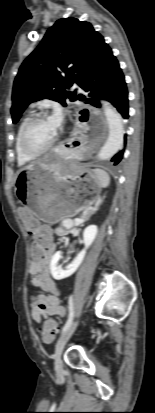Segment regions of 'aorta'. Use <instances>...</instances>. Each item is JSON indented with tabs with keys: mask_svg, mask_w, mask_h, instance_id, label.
Wrapping results in <instances>:
<instances>
[{
	"mask_svg": "<svg viewBox=\"0 0 155 413\" xmlns=\"http://www.w3.org/2000/svg\"><path fill=\"white\" fill-rule=\"evenodd\" d=\"M103 111L106 118L109 134L105 144L98 153L100 160L110 159L123 145L124 125L121 115L108 102H103Z\"/></svg>",
	"mask_w": 155,
	"mask_h": 413,
	"instance_id": "1",
	"label": "aorta"
}]
</instances>
